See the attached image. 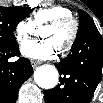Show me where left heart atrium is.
<instances>
[{
    "mask_svg": "<svg viewBox=\"0 0 103 103\" xmlns=\"http://www.w3.org/2000/svg\"><path fill=\"white\" fill-rule=\"evenodd\" d=\"M57 49L51 39H43L25 43L21 47V52L31 59L46 60L55 56Z\"/></svg>",
    "mask_w": 103,
    "mask_h": 103,
    "instance_id": "left-heart-atrium-1",
    "label": "left heart atrium"
}]
</instances>
